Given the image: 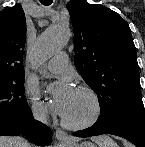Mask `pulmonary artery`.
Wrapping results in <instances>:
<instances>
[{
  "label": "pulmonary artery",
  "mask_w": 145,
  "mask_h": 147,
  "mask_svg": "<svg viewBox=\"0 0 145 147\" xmlns=\"http://www.w3.org/2000/svg\"><path fill=\"white\" fill-rule=\"evenodd\" d=\"M67 62V54L58 53L47 63V68L52 73H61L66 69Z\"/></svg>",
  "instance_id": "pulmonary-artery-1"
}]
</instances>
